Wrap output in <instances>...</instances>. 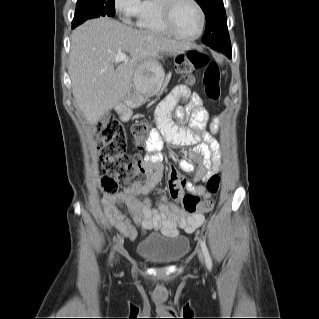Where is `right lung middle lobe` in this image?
<instances>
[{
    "mask_svg": "<svg viewBox=\"0 0 319 319\" xmlns=\"http://www.w3.org/2000/svg\"><path fill=\"white\" fill-rule=\"evenodd\" d=\"M115 15L114 0H78L72 28L82 24L87 19L100 16Z\"/></svg>",
    "mask_w": 319,
    "mask_h": 319,
    "instance_id": "1",
    "label": "right lung middle lobe"
}]
</instances>
